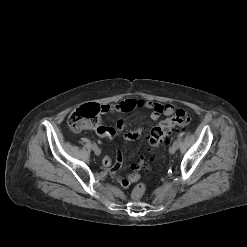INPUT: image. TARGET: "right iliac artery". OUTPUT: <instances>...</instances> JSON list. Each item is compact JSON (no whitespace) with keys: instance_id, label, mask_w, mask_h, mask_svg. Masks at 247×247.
<instances>
[{"instance_id":"obj_1","label":"right iliac artery","mask_w":247,"mask_h":247,"mask_svg":"<svg viewBox=\"0 0 247 247\" xmlns=\"http://www.w3.org/2000/svg\"><path fill=\"white\" fill-rule=\"evenodd\" d=\"M92 148L96 147L97 145L95 143L91 144Z\"/></svg>"}]
</instances>
